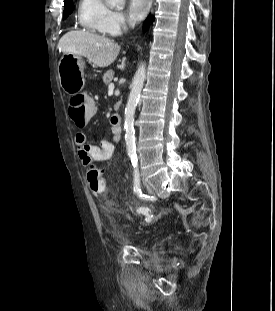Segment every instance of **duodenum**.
Segmentation results:
<instances>
[{
  "mask_svg": "<svg viewBox=\"0 0 275 311\" xmlns=\"http://www.w3.org/2000/svg\"><path fill=\"white\" fill-rule=\"evenodd\" d=\"M111 122L113 125L121 127V117L119 115H112Z\"/></svg>",
  "mask_w": 275,
  "mask_h": 311,
  "instance_id": "1",
  "label": "duodenum"
}]
</instances>
